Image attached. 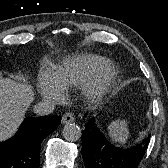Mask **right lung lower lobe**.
Listing matches in <instances>:
<instances>
[{
  "label": "right lung lower lobe",
  "instance_id": "right-lung-lower-lobe-1",
  "mask_svg": "<svg viewBox=\"0 0 168 168\" xmlns=\"http://www.w3.org/2000/svg\"><path fill=\"white\" fill-rule=\"evenodd\" d=\"M59 124L58 116L25 118L10 140L0 142V168H38L41 143Z\"/></svg>",
  "mask_w": 168,
  "mask_h": 168
}]
</instances>
